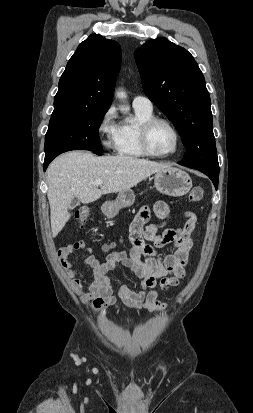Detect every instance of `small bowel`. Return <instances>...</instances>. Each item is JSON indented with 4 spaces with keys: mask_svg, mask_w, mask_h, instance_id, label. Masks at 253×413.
I'll return each mask as SVG.
<instances>
[{
    "mask_svg": "<svg viewBox=\"0 0 253 413\" xmlns=\"http://www.w3.org/2000/svg\"><path fill=\"white\" fill-rule=\"evenodd\" d=\"M151 213L163 222L170 219L169 207L163 201H158L152 206H143L130 226L129 239L132 247L129 252L115 250L101 261L82 240L58 250L57 258L77 289L80 287V280L77 278L79 269L69 257L80 250L87 252L81 263L92 270L94 279L88 287V292L83 295V300L91 301L94 311L103 313L111 307L120 309L116 305L117 298L109 277L110 272L119 268L129 269L141 281L138 291L131 290L125 285L118 290V297L130 310L153 312L165 309L167 303L160 299L157 288L166 290L177 286L184 278L189 252L194 245L196 215L186 212V221L182 227H169L162 234H158L160 225H147ZM169 246L174 248L173 253L164 254L159 251Z\"/></svg>",
    "mask_w": 253,
    "mask_h": 413,
    "instance_id": "obj_1",
    "label": "small bowel"
}]
</instances>
